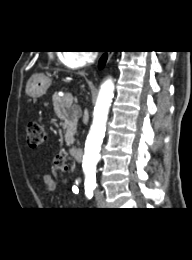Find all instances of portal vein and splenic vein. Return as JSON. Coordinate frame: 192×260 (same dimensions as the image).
Listing matches in <instances>:
<instances>
[{"label": "portal vein and splenic vein", "instance_id": "1", "mask_svg": "<svg viewBox=\"0 0 192 260\" xmlns=\"http://www.w3.org/2000/svg\"><path fill=\"white\" fill-rule=\"evenodd\" d=\"M65 101L69 106L73 103V96L71 93L65 95Z\"/></svg>", "mask_w": 192, "mask_h": 260}]
</instances>
